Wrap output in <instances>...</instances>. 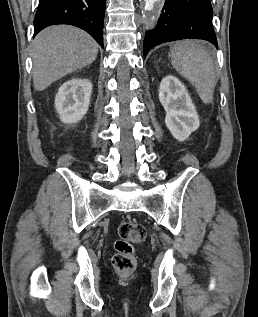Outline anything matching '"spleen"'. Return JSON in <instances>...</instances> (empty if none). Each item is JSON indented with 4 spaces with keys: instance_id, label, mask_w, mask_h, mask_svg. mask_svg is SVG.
Returning a JSON list of instances; mask_svg holds the SVG:
<instances>
[{
    "instance_id": "3e777b00",
    "label": "spleen",
    "mask_w": 258,
    "mask_h": 317,
    "mask_svg": "<svg viewBox=\"0 0 258 317\" xmlns=\"http://www.w3.org/2000/svg\"><path fill=\"white\" fill-rule=\"evenodd\" d=\"M171 62L195 86L203 102H212L217 78L207 48L196 40H180L171 48Z\"/></svg>"
}]
</instances>
